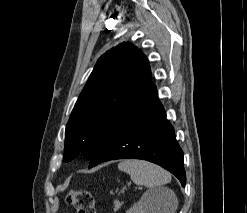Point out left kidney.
<instances>
[{
	"label": "left kidney",
	"instance_id": "1",
	"mask_svg": "<svg viewBox=\"0 0 247 213\" xmlns=\"http://www.w3.org/2000/svg\"><path fill=\"white\" fill-rule=\"evenodd\" d=\"M159 210L158 197L152 191H147L126 213H159Z\"/></svg>",
	"mask_w": 247,
	"mask_h": 213
}]
</instances>
